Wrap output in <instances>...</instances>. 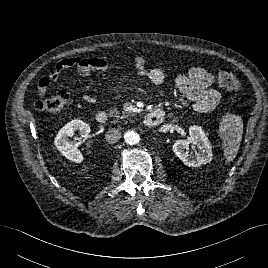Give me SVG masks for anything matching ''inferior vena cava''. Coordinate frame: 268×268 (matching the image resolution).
I'll list each match as a JSON object with an SVG mask.
<instances>
[{"mask_svg":"<svg viewBox=\"0 0 268 268\" xmlns=\"http://www.w3.org/2000/svg\"><path fill=\"white\" fill-rule=\"evenodd\" d=\"M121 138V132L118 129L112 128L106 132L105 139L108 143L114 144Z\"/></svg>","mask_w":268,"mask_h":268,"instance_id":"602c4592","label":"inferior vena cava"}]
</instances>
